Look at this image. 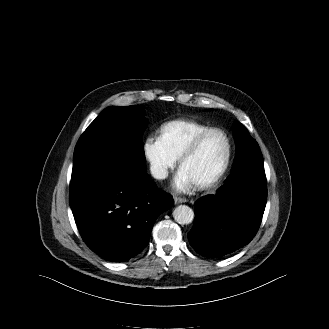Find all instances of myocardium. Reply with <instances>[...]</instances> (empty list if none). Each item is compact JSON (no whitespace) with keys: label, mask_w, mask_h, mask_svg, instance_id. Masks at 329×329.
<instances>
[{"label":"myocardium","mask_w":329,"mask_h":329,"mask_svg":"<svg viewBox=\"0 0 329 329\" xmlns=\"http://www.w3.org/2000/svg\"><path fill=\"white\" fill-rule=\"evenodd\" d=\"M212 133H220L224 136V138L226 140V154H225L223 163H222L221 167L219 168V170L216 172V174L214 176H212L210 179L196 185L199 189H207V188H210V187L216 185L222 179L224 174L226 173V171L230 165V162L232 159V154H233V145H232L230 136L223 129L209 128V129L203 131L202 133L198 134L190 142V144L186 147V149L182 152V154L179 157V168L181 169L184 162L196 153L201 142L208 135H210Z\"/></svg>","instance_id":"f54148a6"}]
</instances>
